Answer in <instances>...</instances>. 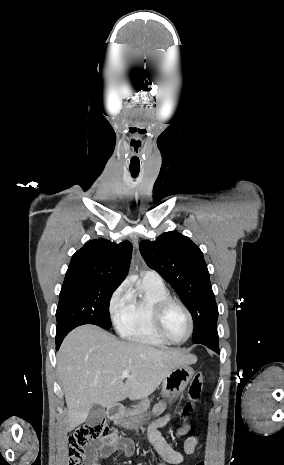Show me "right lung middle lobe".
<instances>
[{"label":"right lung middle lobe","mask_w":284,"mask_h":465,"mask_svg":"<svg viewBox=\"0 0 284 465\" xmlns=\"http://www.w3.org/2000/svg\"><path fill=\"white\" fill-rule=\"evenodd\" d=\"M116 288L95 280L65 279L56 311V331L74 324L111 328L109 301Z\"/></svg>","instance_id":"1"}]
</instances>
